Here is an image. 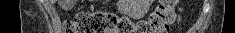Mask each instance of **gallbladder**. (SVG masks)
<instances>
[{
  "label": "gallbladder",
  "mask_w": 235,
  "mask_h": 33,
  "mask_svg": "<svg viewBox=\"0 0 235 33\" xmlns=\"http://www.w3.org/2000/svg\"><path fill=\"white\" fill-rule=\"evenodd\" d=\"M72 6V4H68V7Z\"/></svg>",
  "instance_id": "obj_1"
}]
</instances>
